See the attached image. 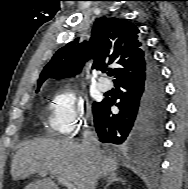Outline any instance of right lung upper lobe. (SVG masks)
<instances>
[{
    "label": "right lung upper lobe",
    "instance_id": "right-lung-upper-lobe-1",
    "mask_svg": "<svg viewBox=\"0 0 188 189\" xmlns=\"http://www.w3.org/2000/svg\"><path fill=\"white\" fill-rule=\"evenodd\" d=\"M138 34V28L125 19H97L89 42L79 44V38H76L75 42L68 43L54 54L40 74L38 90L48 78H64L79 73L90 58L93 59L92 68L102 72L106 71L109 64L117 66L115 85L141 73L149 53Z\"/></svg>",
    "mask_w": 188,
    "mask_h": 189
}]
</instances>
